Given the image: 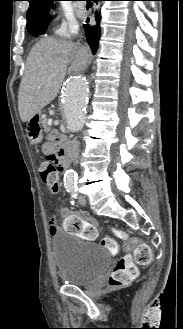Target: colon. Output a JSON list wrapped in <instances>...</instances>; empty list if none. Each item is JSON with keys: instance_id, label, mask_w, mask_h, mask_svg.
Wrapping results in <instances>:
<instances>
[{"instance_id": "obj_1", "label": "colon", "mask_w": 183, "mask_h": 329, "mask_svg": "<svg viewBox=\"0 0 183 329\" xmlns=\"http://www.w3.org/2000/svg\"><path fill=\"white\" fill-rule=\"evenodd\" d=\"M39 172L42 181L57 194L61 190V179L63 168L54 155H47L39 165ZM70 220H81L72 217ZM125 238L124 234H120ZM81 237V236H80ZM102 245L110 252L117 250L115 241L110 237H105L101 241ZM151 261V249L146 243H137L133 250V255H124L116 263L109 276L108 283L111 287H121L131 282L137 275L136 265H147Z\"/></svg>"}]
</instances>
